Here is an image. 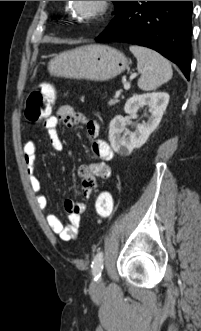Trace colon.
<instances>
[{
    "label": "colon",
    "instance_id": "colon-1",
    "mask_svg": "<svg viewBox=\"0 0 201 331\" xmlns=\"http://www.w3.org/2000/svg\"><path fill=\"white\" fill-rule=\"evenodd\" d=\"M55 93L51 85H43L33 90L27 97L25 104V116L31 122H39L47 119L51 114ZM114 209L113 198L110 193L101 192L95 203V210L100 220L111 217Z\"/></svg>",
    "mask_w": 201,
    "mask_h": 331
}]
</instances>
